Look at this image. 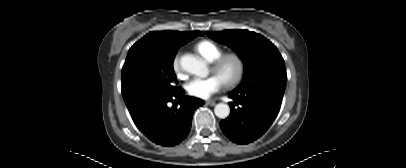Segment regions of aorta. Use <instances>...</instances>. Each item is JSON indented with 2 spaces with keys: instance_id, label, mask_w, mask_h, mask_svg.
I'll return each instance as SVG.
<instances>
[{
  "instance_id": "762f6f07",
  "label": "aorta",
  "mask_w": 406,
  "mask_h": 168,
  "mask_svg": "<svg viewBox=\"0 0 406 168\" xmlns=\"http://www.w3.org/2000/svg\"><path fill=\"white\" fill-rule=\"evenodd\" d=\"M180 65L185 71L199 77H206L208 75L205 61L192 54L183 55L180 59ZM214 113L217 117L225 119L230 114V107L227 104L219 103L215 106Z\"/></svg>"
}]
</instances>
